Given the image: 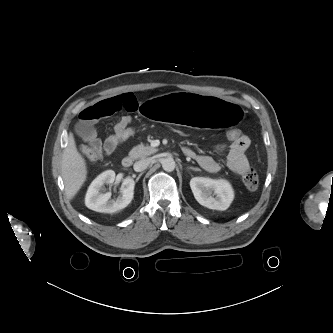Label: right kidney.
Segmentation results:
<instances>
[{"label":"right kidney","mask_w":333,"mask_h":333,"mask_svg":"<svg viewBox=\"0 0 333 333\" xmlns=\"http://www.w3.org/2000/svg\"><path fill=\"white\" fill-rule=\"evenodd\" d=\"M115 180V172L108 170L93 180L85 196V205L94 211L101 213H114L125 208L133 199L135 182L131 177L123 180L120 193L116 199L111 200V192L101 193L104 184H112Z\"/></svg>","instance_id":"1"}]
</instances>
